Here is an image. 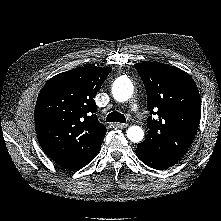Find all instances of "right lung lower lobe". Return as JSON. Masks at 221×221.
<instances>
[{
	"instance_id": "98d812e1",
	"label": "right lung lower lobe",
	"mask_w": 221,
	"mask_h": 221,
	"mask_svg": "<svg viewBox=\"0 0 221 221\" xmlns=\"http://www.w3.org/2000/svg\"><path fill=\"white\" fill-rule=\"evenodd\" d=\"M98 152L95 153L94 155H92L91 157H89L88 159L83 160L81 162H77V163L57 162V163L65 169H69V170L80 169V168L86 166L88 163H90L94 159V157L98 154Z\"/></svg>"
}]
</instances>
